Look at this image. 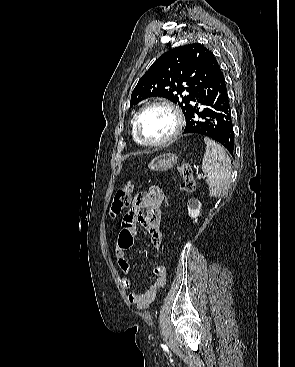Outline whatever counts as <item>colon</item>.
Returning <instances> with one entry per match:
<instances>
[{
	"label": "colon",
	"mask_w": 295,
	"mask_h": 367,
	"mask_svg": "<svg viewBox=\"0 0 295 367\" xmlns=\"http://www.w3.org/2000/svg\"><path fill=\"white\" fill-rule=\"evenodd\" d=\"M181 176L182 182L180 184L181 190L185 192H192L195 188V180L193 176V171L190 165L182 164L178 168ZM133 186L131 184L119 189L114 196V201L111 207V215H119L125 208H127L131 201V193ZM170 196L164 195L162 197V207L167 211L169 208ZM122 242L125 246H130L132 238L128 231H123Z\"/></svg>",
	"instance_id": "1"
}]
</instances>
